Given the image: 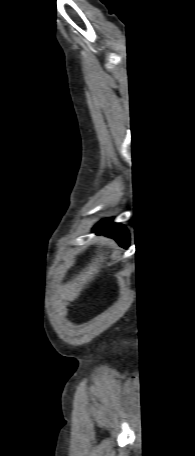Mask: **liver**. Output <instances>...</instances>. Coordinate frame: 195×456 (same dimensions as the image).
Wrapping results in <instances>:
<instances>
[{"mask_svg": "<svg viewBox=\"0 0 195 456\" xmlns=\"http://www.w3.org/2000/svg\"><path fill=\"white\" fill-rule=\"evenodd\" d=\"M107 252L98 250L97 256L92 259V262L80 274L76 275L71 281L65 283L61 287L62 296L69 301H73L80 295L86 285L94 280L101 268V264L106 259Z\"/></svg>", "mask_w": 195, "mask_h": 456, "instance_id": "6515ba94", "label": "liver"}]
</instances>
